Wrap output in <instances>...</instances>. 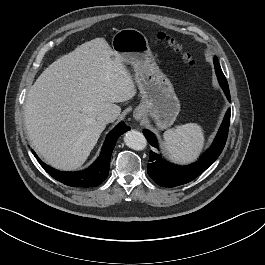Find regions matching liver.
<instances>
[{
    "instance_id": "liver-1",
    "label": "liver",
    "mask_w": 265,
    "mask_h": 265,
    "mask_svg": "<svg viewBox=\"0 0 265 265\" xmlns=\"http://www.w3.org/2000/svg\"><path fill=\"white\" fill-rule=\"evenodd\" d=\"M137 93L131 74L103 38L78 46L54 61L30 88L24 107L32 147L51 166L80 167L106 124L104 112L120 115L116 104Z\"/></svg>"
}]
</instances>
